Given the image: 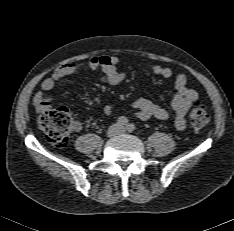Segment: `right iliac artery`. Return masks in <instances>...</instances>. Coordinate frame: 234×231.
I'll return each instance as SVG.
<instances>
[{
  "label": "right iliac artery",
  "instance_id": "obj_1",
  "mask_svg": "<svg viewBox=\"0 0 234 231\" xmlns=\"http://www.w3.org/2000/svg\"><path fill=\"white\" fill-rule=\"evenodd\" d=\"M117 123L119 125H126L128 123V119L124 116H121L117 119Z\"/></svg>",
  "mask_w": 234,
  "mask_h": 231
}]
</instances>
